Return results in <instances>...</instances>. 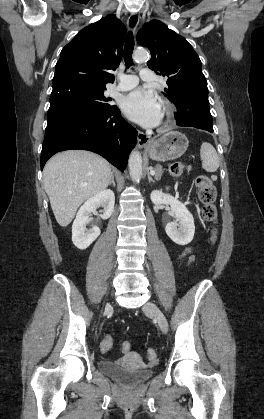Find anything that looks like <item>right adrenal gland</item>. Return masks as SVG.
<instances>
[{"label":"right adrenal gland","mask_w":264,"mask_h":419,"mask_svg":"<svg viewBox=\"0 0 264 419\" xmlns=\"http://www.w3.org/2000/svg\"><path fill=\"white\" fill-rule=\"evenodd\" d=\"M111 184L113 185V187L116 186L115 181H114V174L113 173H112L111 181H110L109 185H111Z\"/></svg>","instance_id":"2a0ac1e0"}]
</instances>
